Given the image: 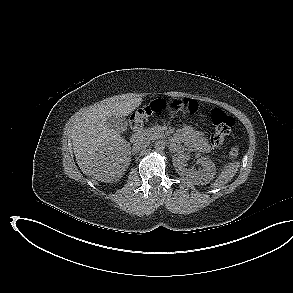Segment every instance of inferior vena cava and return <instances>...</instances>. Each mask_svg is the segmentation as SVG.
I'll use <instances>...</instances> for the list:
<instances>
[{"label": "inferior vena cava", "instance_id": "obj_1", "mask_svg": "<svg viewBox=\"0 0 293 293\" xmlns=\"http://www.w3.org/2000/svg\"><path fill=\"white\" fill-rule=\"evenodd\" d=\"M150 142L145 139H141L133 144V151H138L140 149H144L148 147Z\"/></svg>", "mask_w": 293, "mask_h": 293}]
</instances>
